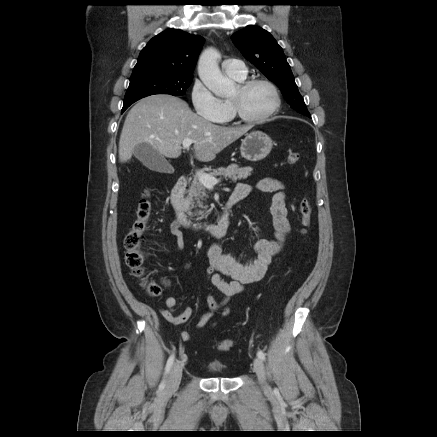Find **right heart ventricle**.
<instances>
[{
	"label": "right heart ventricle",
	"mask_w": 437,
	"mask_h": 437,
	"mask_svg": "<svg viewBox=\"0 0 437 437\" xmlns=\"http://www.w3.org/2000/svg\"><path fill=\"white\" fill-rule=\"evenodd\" d=\"M234 79H236V78H234ZM245 78H243V79H236L237 81H243ZM225 102V104H226V106H227V115H226V117L223 119V121L222 122H227V121H229L231 118H232V111H231V107H230V103H229V101L227 100V101H224Z\"/></svg>",
	"instance_id": "e07e8e85"
}]
</instances>
